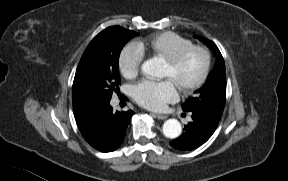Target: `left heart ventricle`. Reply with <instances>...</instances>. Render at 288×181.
I'll list each match as a JSON object with an SVG mask.
<instances>
[{
    "label": "left heart ventricle",
    "mask_w": 288,
    "mask_h": 181,
    "mask_svg": "<svg viewBox=\"0 0 288 181\" xmlns=\"http://www.w3.org/2000/svg\"><path fill=\"white\" fill-rule=\"evenodd\" d=\"M204 68V56L200 52L189 54L178 66L171 68L163 64L161 77L167 78L181 89L195 82Z\"/></svg>",
    "instance_id": "left-heart-ventricle-1"
}]
</instances>
